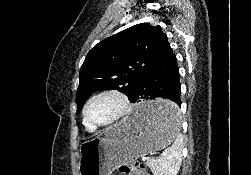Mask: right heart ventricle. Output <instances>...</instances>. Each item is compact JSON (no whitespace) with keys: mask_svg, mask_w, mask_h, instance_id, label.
I'll return each instance as SVG.
<instances>
[{"mask_svg":"<svg viewBox=\"0 0 251 175\" xmlns=\"http://www.w3.org/2000/svg\"><path fill=\"white\" fill-rule=\"evenodd\" d=\"M85 128H86V127H85ZM86 131L89 132V133H95L94 130H92V129L88 128V127L86 128Z\"/></svg>","mask_w":251,"mask_h":175,"instance_id":"right-heart-ventricle-1","label":"right heart ventricle"}]
</instances>
